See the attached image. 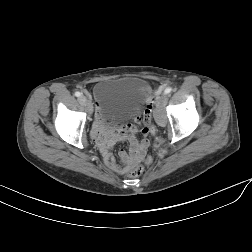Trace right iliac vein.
I'll list each match as a JSON object with an SVG mask.
<instances>
[{
  "label": "right iliac vein",
  "mask_w": 252,
  "mask_h": 252,
  "mask_svg": "<svg viewBox=\"0 0 252 252\" xmlns=\"http://www.w3.org/2000/svg\"><path fill=\"white\" fill-rule=\"evenodd\" d=\"M79 102H80V104H82L83 106L86 107V110L89 114L92 113V108H91L90 102L85 96H81L79 98Z\"/></svg>",
  "instance_id": "63e3f726"
}]
</instances>
